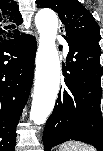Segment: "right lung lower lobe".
Returning a JSON list of instances; mask_svg holds the SVG:
<instances>
[{
    "instance_id": "1",
    "label": "right lung lower lobe",
    "mask_w": 103,
    "mask_h": 151,
    "mask_svg": "<svg viewBox=\"0 0 103 151\" xmlns=\"http://www.w3.org/2000/svg\"><path fill=\"white\" fill-rule=\"evenodd\" d=\"M36 41L20 34L0 42V151H14L16 125L28 100Z\"/></svg>"
}]
</instances>
